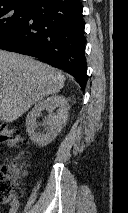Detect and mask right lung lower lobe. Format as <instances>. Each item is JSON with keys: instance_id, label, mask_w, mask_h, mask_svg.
I'll use <instances>...</instances> for the list:
<instances>
[{"instance_id": "obj_1", "label": "right lung lower lobe", "mask_w": 128, "mask_h": 213, "mask_svg": "<svg viewBox=\"0 0 128 213\" xmlns=\"http://www.w3.org/2000/svg\"><path fill=\"white\" fill-rule=\"evenodd\" d=\"M0 49L51 62L86 86L84 23L80 0H38L23 24L0 41Z\"/></svg>"}]
</instances>
